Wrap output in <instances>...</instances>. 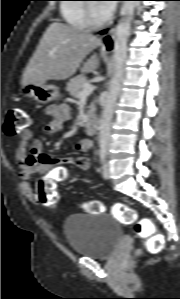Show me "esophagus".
Segmentation results:
<instances>
[{
    "instance_id": "1",
    "label": "esophagus",
    "mask_w": 180,
    "mask_h": 299,
    "mask_svg": "<svg viewBox=\"0 0 180 299\" xmlns=\"http://www.w3.org/2000/svg\"><path fill=\"white\" fill-rule=\"evenodd\" d=\"M115 45V27L113 26L102 39V49L111 52Z\"/></svg>"
}]
</instances>
